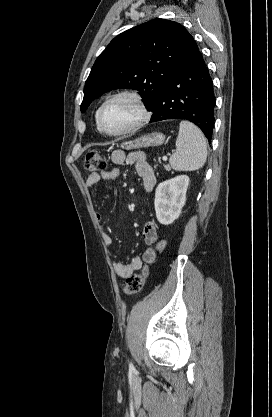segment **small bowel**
Wrapping results in <instances>:
<instances>
[{"label":"small bowel","instance_id":"obj_1","mask_svg":"<svg viewBox=\"0 0 272 417\" xmlns=\"http://www.w3.org/2000/svg\"><path fill=\"white\" fill-rule=\"evenodd\" d=\"M112 161L116 165H134L138 176L141 178L144 190L151 192L156 185V176L150 164L147 162L146 156L143 153L126 154L121 150H116L111 155ZM119 168H112L101 173L92 172L86 179V185L88 188H93L99 181H111L119 177ZM97 218L101 221V216L97 214ZM143 238L150 247L146 250L144 256L133 257L129 263L120 261H113L112 268L115 274L123 279H127L135 271L140 270L145 263H151L156 253L152 250V245L157 240V226L153 221L148 222L143 229ZM102 239L107 247H110L113 243L111 235L103 232Z\"/></svg>","mask_w":272,"mask_h":417}]
</instances>
